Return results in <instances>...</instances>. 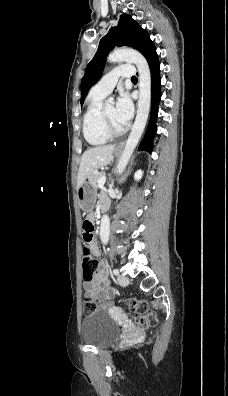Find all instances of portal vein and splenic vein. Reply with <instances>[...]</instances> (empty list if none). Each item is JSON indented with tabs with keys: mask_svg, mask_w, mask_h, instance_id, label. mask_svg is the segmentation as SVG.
<instances>
[{
	"mask_svg": "<svg viewBox=\"0 0 228 396\" xmlns=\"http://www.w3.org/2000/svg\"><path fill=\"white\" fill-rule=\"evenodd\" d=\"M105 182H106V175L104 174V175L100 178V180H99V182H98V187H102V186L105 184Z\"/></svg>",
	"mask_w": 228,
	"mask_h": 396,
	"instance_id": "portal-vein-and-splenic-vein-1",
	"label": "portal vein and splenic vein"
}]
</instances>
